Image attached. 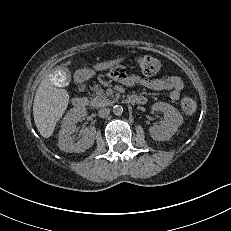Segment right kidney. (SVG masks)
Here are the masks:
<instances>
[{
    "label": "right kidney",
    "mask_w": 231,
    "mask_h": 231,
    "mask_svg": "<svg viewBox=\"0 0 231 231\" xmlns=\"http://www.w3.org/2000/svg\"><path fill=\"white\" fill-rule=\"evenodd\" d=\"M86 113L82 110L73 108L63 118L62 128L59 133V148L64 152L81 153L92 147L95 139L96 128L90 126L82 131V138L74 143L71 137L76 131V123L82 121Z\"/></svg>",
    "instance_id": "ca27d5eb"
}]
</instances>
